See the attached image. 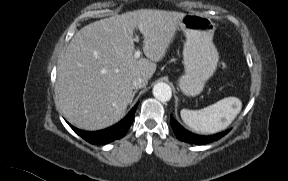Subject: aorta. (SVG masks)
<instances>
[{
	"label": "aorta",
	"instance_id": "762f6f07",
	"mask_svg": "<svg viewBox=\"0 0 288 181\" xmlns=\"http://www.w3.org/2000/svg\"><path fill=\"white\" fill-rule=\"evenodd\" d=\"M153 95L161 102H167L172 97V91L168 84L160 82L154 85Z\"/></svg>",
	"mask_w": 288,
	"mask_h": 181
}]
</instances>
